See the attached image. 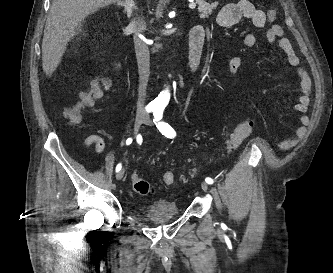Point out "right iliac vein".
<instances>
[{
	"instance_id": "1",
	"label": "right iliac vein",
	"mask_w": 333,
	"mask_h": 273,
	"mask_svg": "<svg viewBox=\"0 0 333 273\" xmlns=\"http://www.w3.org/2000/svg\"><path fill=\"white\" fill-rule=\"evenodd\" d=\"M144 117H145V114L143 112L137 113L136 118H135V123H134V135H136L138 133V130L140 128V125H141ZM124 173H125L124 169L120 170L116 175V180H118V181L121 180L124 176Z\"/></svg>"
}]
</instances>
